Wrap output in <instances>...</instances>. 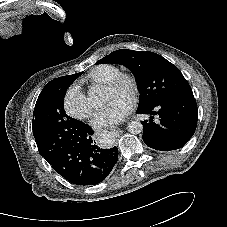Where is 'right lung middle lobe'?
<instances>
[{"mask_svg":"<svg viewBox=\"0 0 227 227\" xmlns=\"http://www.w3.org/2000/svg\"><path fill=\"white\" fill-rule=\"evenodd\" d=\"M76 73L48 82L41 91L33 112L32 129L39 153L47 160L73 138L79 120L66 115L63 98L66 89L80 75Z\"/></svg>","mask_w":227,"mask_h":227,"instance_id":"1","label":"right lung middle lobe"}]
</instances>
